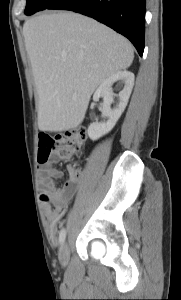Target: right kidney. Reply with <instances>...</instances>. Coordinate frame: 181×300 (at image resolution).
Segmentation results:
<instances>
[{
    "label": "right kidney",
    "instance_id": "obj_1",
    "mask_svg": "<svg viewBox=\"0 0 181 300\" xmlns=\"http://www.w3.org/2000/svg\"><path fill=\"white\" fill-rule=\"evenodd\" d=\"M115 82H118L119 85H122L123 89L118 94L119 103L115 108L111 109V104L114 98L112 85ZM133 86L134 74L126 70L114 73L99 85L93 95V100L98 101L101 97L104 99L101 112L102 117L106 120L92 123L88 127V136L91 140H97L113 129L127 106Z\"/></svg>",
    "mask_w": 181,
    "mask_h": 300
}]
</instances>
